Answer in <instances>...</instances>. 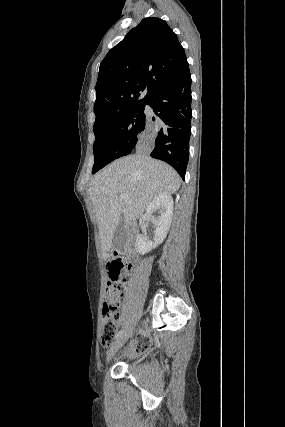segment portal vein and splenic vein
Segmentation results:
<instances>
[{
    "label": "portal vein and splenic vein",
    "instance_id": "18ae733b",
    "mask_svg": "<svg viewBox=\"0 0 285 427\" xmlns=\"http://www.w3.org/2000/svg\"><path fill=\"white\" fill-rule=\"evenodd\" d=\"M120 198H121V200H123V201H127L128 199H127V197L125 196V195H123V194H121L120 195Z\"/></svg>",
    "mask_w": 285,
    "mask_h": 427
}]
</instances>
